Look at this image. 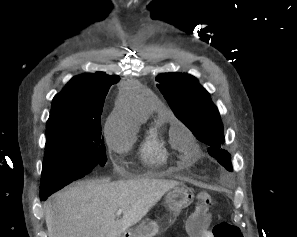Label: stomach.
Masks as SVG:
<instances>
[{"label": "stomach", "instance_id": "stomach-1", "mask_svg": "<svg viewBox=\"0 0 297 237\" xmlns=\"http://www.w3.org/2000/svg\"><path fill=\"white\" fill-rule=\"evenodd\" d=\"M193 198L194 194L189 188L176 186L167 193L165 201L171 211L178 213L183 208L189 206ZM158 231L159 226L157 222L146 219L139 225L124 232L121 237H154Z\"/></svg>", "mask_w": 297, "mask_h": 237}]
</instances>
